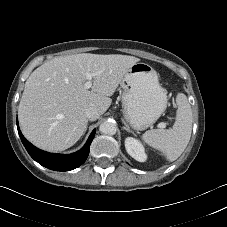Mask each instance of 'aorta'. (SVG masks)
Listing matches in <instances>:
<instances>
[{"mask_svg":"<svg viewBox=\"0 0 227 227\" xmlns=\"http://www.w3.org/2000/svg\"><path fill=\"white\" fill-rule=\"evenodd\" d=\"M99 130L103 134L114 135L117 131V126L115 122L111 120H106L100 124Z\"/></svg>","mask_w":227,"mask_h":227,"instance_id":"1","label":"aorta"}]
</instances>
